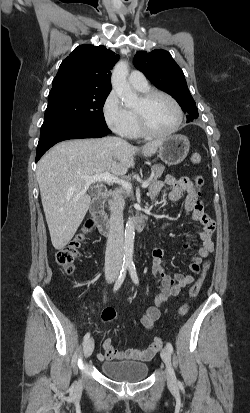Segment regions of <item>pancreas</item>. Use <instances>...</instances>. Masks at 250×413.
<instances>
[{"label":"pancreas","mask_w":250,"mask_h":413,"mask_svg":"<svg viewBox=\"0 0 250 413\" xmlns=\"http://www.w3.org/2000/svg\"><path fill=\"white\" fill-rule=\"evenodd\" d=\"M164 169H165V167H164L163 165H161V164H156V165H154V166L151 168L152 173H151L149 182H150V183L156 182V181L158 180V178L161 177ZM120 196H121V197H123V196H124V197H132V198H133V195H132L130 192H127V191H121V192H120Z\"/></svg>","instance_id":"obj_1"}]
</instances>
